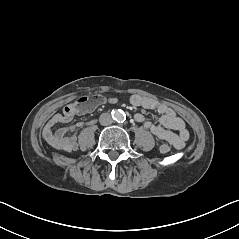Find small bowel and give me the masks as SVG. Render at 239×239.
Returning a JSON list of instances; mask_svg holds the SVG:
<instances>
[{"label": "small bowel", "mask_w": 239, "mask_h": 239, "mask_svg": "<svg viewBox=\"0 0 239 239\" xmlns=\"http://www.w3.org/2000/svg\"><path fill=\"white\" fill-rule=\"evenodd\" d=\"M109 103L117 102V98L111 97L107 100ZM130 103L135 107L155 110L159 113L157 123H152L141 113L134 116L136 122L143 125L154 136L160 140L167 141L177 149L185 147L189 138V132L186 129L184 121L177 116L175 111L166 105L151 97L134 94L130 97ZM90 106L84 109H76L75 103L67 105L61 113L55 114L44 126L43 139L54 149L72 152L77 149L76 133L82 128L83 123L78 122L54 131L55 125L69 122L76 114H83L94 108Z\"/></svg>", "instance_id": "c3829d8e"}]
</instances>
